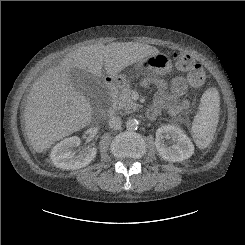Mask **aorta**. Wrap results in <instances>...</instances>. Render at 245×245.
Returning <instances> with one entry per match:
<instances>
[{
    "mask_svg": "<svg viewBox=\"0 0 245 245\" xmlns=\"http://www.w3.org/2000/svg\"><path fill=\"white\" fill-rule=\"evenodd\" d=\"M139 122L136 119L130 118L126 121L127 130L134 131L138 128Z\"/></svg>",
    "mask_w": 245,
    "mask_h": 245,
    "instance_id": "762f6f07",
    "label": "aorta"
}]
</instances>
